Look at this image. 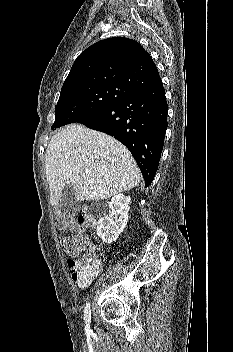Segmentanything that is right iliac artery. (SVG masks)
Wrapping results in <instances>:
<instances>
[{
    "instance_id": "obj_1",
    "label": "right iliac artery",
    "mask_w": 233,
    "mask_h": 352,
    "mask_svg": "<svg viewBox=\"0 0 233 352\" xmlns=\"http://www.w3.org/2000/svg\"><path fill=\"white\" fill-rule=\"evenodd\" d=\"M84 320H85V329L88 330L89 327H90V321H91L90 303H87L86 306H85Z\"/></svg>"
}]
</instances>
